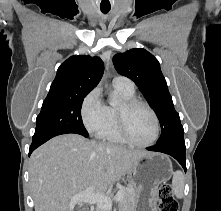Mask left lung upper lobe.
<instances>
[{
	"mask_svg": "<svg viewBox=\"0 0 221 211\" xmlns=\"http://www.w3.org/2000/svg\"><path fill=\"white\" fill-rule=\"evenodd\" d=\"M117 72L133 80L155 111L161 136L156 144L184 139V129L175 111L158 60L142 48L118 53L113 57Z\"/></svg>",
	"mask_w": 221,
	"mask_h": 211,
	"instance_id": "obj_1",
	"label": "left lung upper lobe"
}]
</instances>
